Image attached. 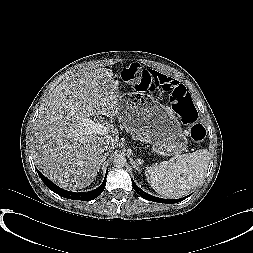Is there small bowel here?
Returning a JSON list of instances; mask_svg holds the SVG:
<instances>
[{
    "mask_svg": "<svg viewBox=\"0 0 253 253\" xmlns=\"http://www.w3.org/2000/svg\"><path fill=\"white\" fill-rule=\"evenodd\" d=\"M133 84L139 90L160 91L171 88L179 82L157 71H149L146 79H138Z\"/></svg>",
    "mask_w": 253,
    "mask_h": 253,
    "instance_id": "small-bowel-1",
    "label": "small bowel"
}]
</instances>
